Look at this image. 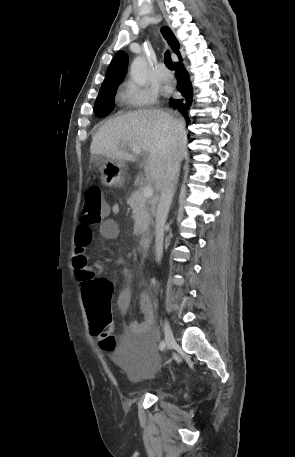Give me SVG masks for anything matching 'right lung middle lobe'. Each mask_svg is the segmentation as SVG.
I'll return each mask as SVG.
<instances>
[{
  "instance_id": "1",
  "label": "right lung middle lobe",
  "mask_w": 295,
  "mask_h": 457,
  "mask_svg": "<svg viewBox=\"0 0 295 457\" xmlns=\"http://www.w3.org/2000/svg\"><path fill=\"white\" fill-rule=\"evenodd\" d=\"M116 88L100 90L94 105V113L97 117H105L114 108Z\"/></svg>"
}]
</instances>
